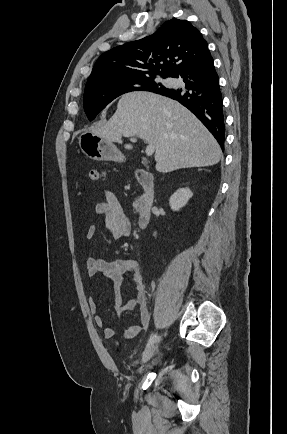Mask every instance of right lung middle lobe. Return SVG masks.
<instances>
[{
    "label": "right lung middle lobe",
    "mask_w": 287,
    "mask_h": 434,
    "mask_svg": "<svg viewBox=\"0 0 287 434\" xmlns=\"http://www.w3.org/2000/svg\"><path fill=\"white\" fill-rule=\"evenodd\" d=\"M162 78L168 76L161 75ZM156 75L133 78H119L86 84L83 105L89 120H93L116 97L131 91L144 90L155 92L165 90L162 83L157 82Z\"/></svg>",
    "instance_id": "1"
}]
</instances>
